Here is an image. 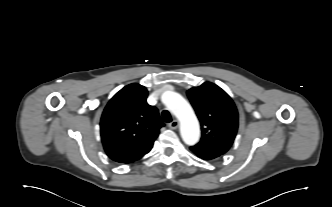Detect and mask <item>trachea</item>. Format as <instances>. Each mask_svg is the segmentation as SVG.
I'll return each mask as SVG.
<instances>
[{"mask_svg": "<svg viewBox=\"0 0 332 207\" xmlns=\"http://www.w3.org/2000/svg\"><path fill=\"white\" fill-rule=\"evenodd\" d=\"M162 117H163V120L165 122H171L172 121V117H171L170 113L167 110L162 111Z\"/></svg>", "mask_w": 332, "mask_h": 207, "instance_id": "trachea-1", "label": "trachea"}]
</instances>
